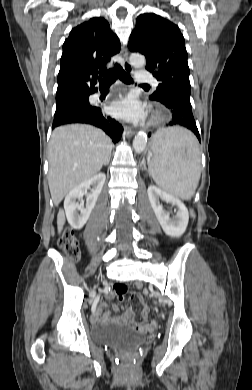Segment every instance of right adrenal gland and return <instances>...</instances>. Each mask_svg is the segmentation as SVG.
<instances>
[{
  "label": "right adrenal gland",
  "instance_id": "right-adrenal-gland-1",
  "mask_svg": "<svg viewBox=\"0 0 252 390\" xmlns=\"http://www.w3.org/2000/svg\"><path fill=\"white\" fill-rule=\"evenodd\" d=\"M109 161H110V158L107 160V162H105L104 165H108V164H109Z\"/></svg>",
  "mask_w": 252,
  "mask_h": 390
}]
</instances>
